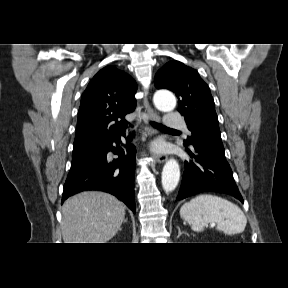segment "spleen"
I'll use <instances>...</instances> for the list:
<instances>
[{
  "label": "spleen",
  "instance_id": "obj_1",
  "mask_svg": "<svg viewBox=\"0 0 288 288\" xmlns=\"http://www.w3.org/2000/svg\"><path fill=\"white\" fill-rule=\"evenodd\" d=\"M181 218L195 232H201L208 223H216L217 230L227 235L242 233L247 218L234 203L221 197L202 194L185 203L180 209Z\"/></svg>",
  "mask_w": 288,
  "mask_h": 288
}]
</instances>
